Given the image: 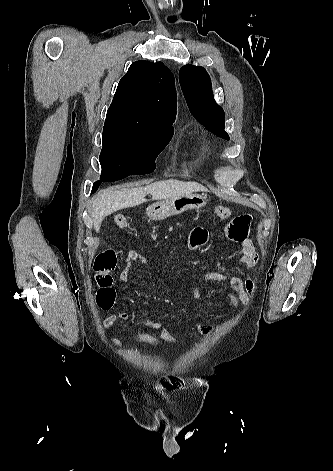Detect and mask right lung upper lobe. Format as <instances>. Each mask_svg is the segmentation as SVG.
Wrapping results in <instances>:
<instances>
[{"label":"right lung upper lobe","mask_w":333,"mask_h":471,"mask_svg":"<svg viewBox=\"0 0 333 471\" xmlns=\"http://www.w3.org/2000/svg\"><path fill=\"white\" fill-rule=\"evenodd\" d=\"M174 76L162 62L136 61L120 80L106 121L166 127L176 117Z\"/></svg>","instance_id":"1"}]
</instances>
